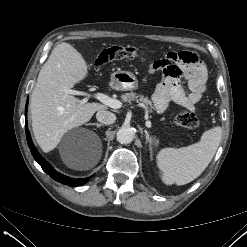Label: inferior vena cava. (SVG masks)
<instances>
[{"instance_id":"602c4592","label":"inferior vena cava","mask_w":247,"mask_h":247,"mask_svg":"<svg viewBox=\"0 0 247 247\" xmlns=\"http://www.w3.org/2000/svg\"><path fill=\"white\" fill-rule=\"evenodd\" d=\"M96 118L99 122L110 125L115 122L116 115L106 110H99L96 113Z\"/></svg>"}]
</instances>
